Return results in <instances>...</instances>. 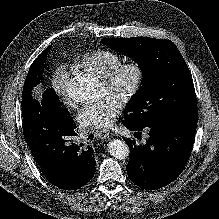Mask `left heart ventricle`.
<instances>
[{"label": "left heart ventricle", "instance_id": "1", "mask_svg": "<svg viewBox=\"0 0 219 219\" xmlns=\"http://www.w3.org/2000/svg\"><path fill=\"white\" fill-rule=\"evenodd\" d=\"M131 82V74L126 73L121 78L118 86L115 90H108L107 87L102 83V95H111L115 97L117 100H120L121 96L126 92Z\"/></svg>", "mask_w": 219, "mask_h": 219}]
</instances>
